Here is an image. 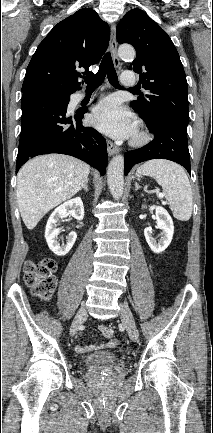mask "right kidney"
I'll list each match as a JSON object with an SVG mask.
<instances>
[{
  "instance_id": "obj_1",
  "label": "right kidney",
  "mask_w": 213,
  "mask_h": 433,
  "mask_svg": "<svg viewBox=\"0 0 213 433\" xmlns=\"http://www.w3.org/2000/svg\"><path fill=\"white\" fill-rule=\"evenodd\" d=\"M69 215L79 221L84 218V206L80 197L73 198L57 207L48 219L45 238L50 250L57 256L66 255L73 247L77 238L76 232H70L66 243H59L58 234L60 233V229L57 228V223L60 219L66 218Z\"/></svg>"
}]
</instances>
